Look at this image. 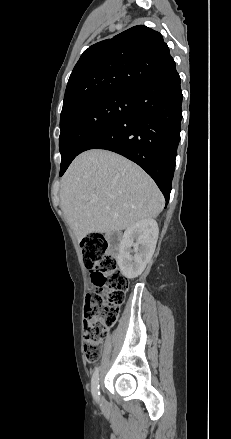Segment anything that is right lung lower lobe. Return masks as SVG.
<instances>
[{"label": "right lung lower lobe", "mask_w": 231, "mask_h": 439, "mask_svg": "<svg viewBox=\"0 0 231 439\" xmlns=\"http://www.w3.org/2000/svg\"><path fill=\"white\" fill-rule=\"evenodd\" d=\"M133 94L134 108L92 135L78 153L106 149L123 155L153 178L168 203L182 119L183 95L175 66Z\"/></svg>", "instance_id": "98d812e1"}]
</instances>
